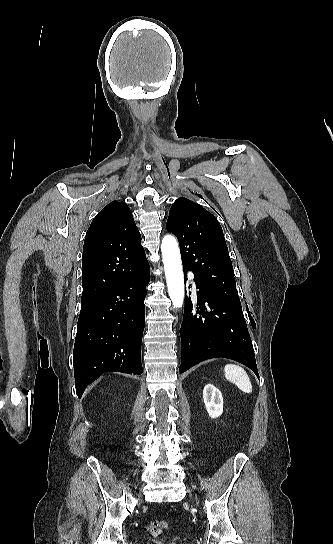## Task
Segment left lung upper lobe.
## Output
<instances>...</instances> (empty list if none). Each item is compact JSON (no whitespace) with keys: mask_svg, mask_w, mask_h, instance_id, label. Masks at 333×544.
Returning <instances> with one entry per match:
<instances>
[{"mask_svg":"<svg viewBox=\"0 0 333 544\" xmlns=\"http://www.w3.org/2000/svg\"><path fill=\"white\" fill-rule=\"evenodd\" d=\"M167 230L179 240L183 267L224 301L242 309L224 234L215 216L179 198L169 211Z\"/></svg>","mask_w":333,"mask_h":544,"instance_id":"1","label":"left lung upper lobe"}]
</instances>
